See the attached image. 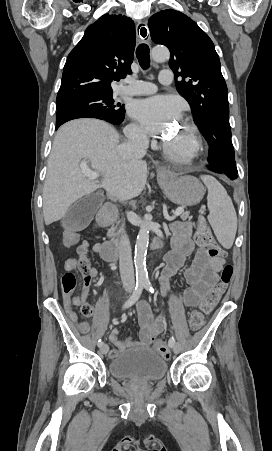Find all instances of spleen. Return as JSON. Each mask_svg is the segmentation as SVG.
I'll use <instances>...</instances> for the list:
<instances>
[{
    "instance_id": "1",
    "label": "spleen",
    "mask_w": 272,
    "mask_h": 451,
    "mask_svg": "<svg viewBox=\"0 0 272 451\" xmlns=\"http://www.w3.org/2000/svg\"><path fill=\"white\" fill-rule=\"evenodd\" d=\"M207 190L208 222L221 245L230 249L237 231L235 208L225 188L213 176H200Z\"/></svg>"
}]
</instances>
